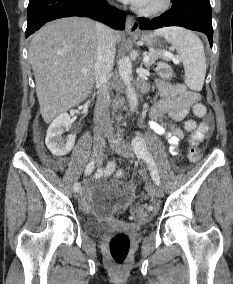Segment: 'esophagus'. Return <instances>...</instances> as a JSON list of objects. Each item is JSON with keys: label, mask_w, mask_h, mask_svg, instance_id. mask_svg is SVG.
I'll list each match as a JSON object with an SVG mask.
<instances>
[{"label": "esophagus", "mask_w": 233, "mask_h": 284, "mask_svg": "<svg viewBox=\"0 0 233 284\" xmlns=\"http://www.w3.org/2000/svg\"><path fill=\"white\" fill-rule=\"evenodd\" d=\"M126 31L129 34H134L139 31V24L137 20L131 15H127L126 18Z\"/></svg>", "instance_id": "obj_1"}]
</instances>
